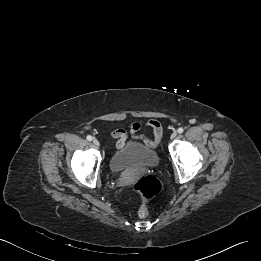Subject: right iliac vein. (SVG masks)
<instances>
[{"instance_id":"obj_1","label":"right iliac vein","mask_w":261,"mask_h":261,"mask_svg":"<svg viewBox=\"0 0 261 261\" xmlns=\"http://www.w3.org/2000/svg\"><path fill=\"white\" fill-rule=\"evenodd\" d=\"M93 143L95 146L97 147L99 146V141L96 138L93 139Z\"/></svg>"}]
</instances>
